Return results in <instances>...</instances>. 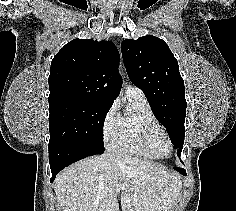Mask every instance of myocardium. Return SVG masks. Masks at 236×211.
<instances>
[{
	"label": "myocardium",
	"mask_w": 236,
	"mask_h": 211,
	"mask_svg": "<svg viewBox=\"0 0 236 211\" xmlns=\"http://www.w3.org/2000/svg\"><path fill=\"white\" fill-rule=\"evenodd\" d=\"M158 131H160V132H162L164 134V136L166 137V139H167V141L169 143V152H168L167 155H160V154L155 153V151L152 149V147L150 145V140H151L152 135L155 134ZM136 142L142 148L143 151H145L147 154L151 155L155 159H166V158H169L170 155L173 152V149H174L173 141L171 139L170 134L160 124H153V125L146 126L138 134V136L136 138Z\"/></svg>",
	"instance_id": "f54148a6"
}]
</instances>
